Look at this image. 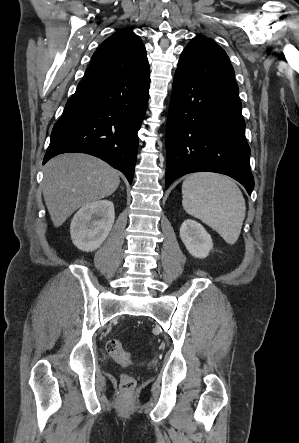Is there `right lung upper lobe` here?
<instances>
[{"label": "right lung upper lobe", "instance_id": "right-lung-upper-lobe-1", "mask_svg": "<svg viewBox=\"0 0 299 443\" xmlns=\"http://www.w3.org/2000/svg\"><path fill=\"white\" fill-rule=\"evenodd\" d=\"M145 46L129 29L117 31L93 54L83 80H108L149 73Z\"/></svg>", "mask_w": 299, "mask_h": 443}]
</instances>
